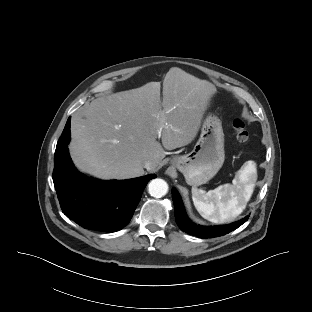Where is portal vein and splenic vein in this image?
Segmentation results:
<instances>
[{
  "mask_svg": "<svg viewBox=\"0 0 312 312\" xmlns=\"http://www.w3.org/2000/svg\"><path fill=\"white\" fill-rule=\"evenodd\" d=\"M160 114H162V113H160ZM161 130H162V128H160V131H159V133L161 132Z\"/></svg>",
  "mask_w": 312,
  "mask_h": 312,
  "instance_id": "portal-vein-and-splenic-vein-1",
  "label": "portal vein and splenic vein"
}]
</instances>
